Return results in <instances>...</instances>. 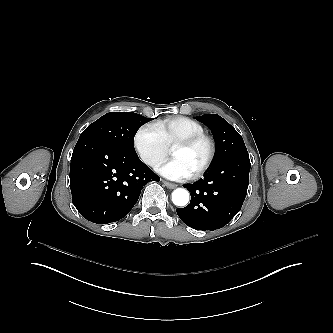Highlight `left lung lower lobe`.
<instances>
[{
  "label": "left lung lower lobe",
  "mask_w": 333,
  "mask_h": 333,
  "mask_svg": "<svg viewBox=\"0 0 333 333\" xmlns=\"http://www.w3.org/2000/svg\"><path fill=\"white\" fill-rule=\"evenodd\" d=\"M250 159L234 155L212 166L203 179L183 185L191 193V202L176 209L179 218L198 230L222 228L241 209L249 184Z\"/></svg>",
  "instance_id": "obj_1"
}]
</instances>
